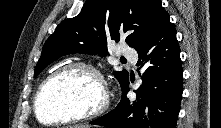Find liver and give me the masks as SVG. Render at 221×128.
<instances>
[{"label": "liver", "mask_w": 221, "mask_h": 128, "mask_svg": "<svg viewBox=\"0 0 221 128\" xmlns=\"http://www.w3.org/2000/svg\"><path fill=\"white\" fill-rule=\"evenodd\" d=\"M69 128H90L89 125H75V126H70Z\"/></svg>", "instance_id": "liver-1"}]
</instances>
